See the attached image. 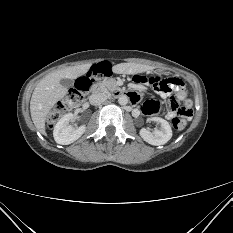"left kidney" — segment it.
<instances>
[{
	"instance_id": "left-kidney-1",
	"label": "left kidney",
	"mask_w": 233,
	"mask_h": 233,
	"mask_svg": "<svg viewBox=\"0 0 233 233\" xmlns=\"http://www.w3.org/2000/svg\"><path fill=\"white\" fill-rule=\"evenodd\" d=\"M148 121H154L160 126L159 129H156L153 133L146 128H142L139 134L144 141L151 145L158 146L167 143L171 139L172 129L166 120L160 117H152L149 118Z\"/></svg>"
}]
</instances>
